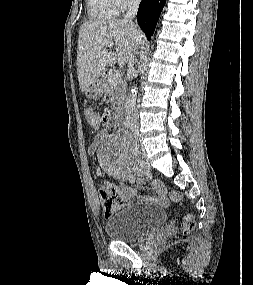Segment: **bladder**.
I'll return each mask as SVG.
<instances>
[{"label": "bladder", "instance_id": "bladder-1", "mask_svg": "<svg viewBox=\"0 0 253 285\" xmlns=\"http://www.w3.org/2000/svg\"><path fill=\"white\" fill-rule=\"evenodd\" d=\"M166 212L158 207L130 203L117 208L105 222V234L119 242H134L166 222Z\"/></svg>", "mask_w": 253, "mask_h": 285}]
</instances>
